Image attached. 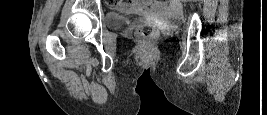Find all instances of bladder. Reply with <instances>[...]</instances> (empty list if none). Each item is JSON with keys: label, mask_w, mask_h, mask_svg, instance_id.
<instances>
[{"label": "bladder", "mask_w": 267, "mask_h": 115, "mask_svg": "<svg viewBox=\"0 0 267 115\" xmlns=\"http://www.w3.org/2000/svg\"><path fill=\"white\" fill-rule=\"evenodd\" d=\"M137 19L135 17L119 15V14H109L106 18V23L111 28H121L123 26H128L135 23Z\"/></svg>", "instance_id": "obj_1"}]
</instances>
